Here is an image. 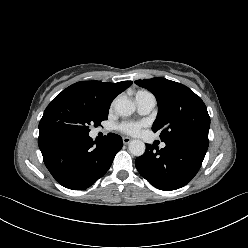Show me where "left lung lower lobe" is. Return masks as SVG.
<instances>
[{
    "label": "left lung lower lobe",
    "mask_w": 248,
    "mask_h": 248,
    "mask_svg": "<svg viewBox=\"0 0 248 248\" xmlns=\"http://www.w3.org/2000/svg\"><path fill=\"white\" fill-rule=\"evenodd\" d=\"M165 143V148L161 150L146 144L145 153L136 159L135 165L154 187L170 191L183 187L197 174L209 141L178 139Z\"/></svg>",
    "instance_id": "obj_1"
}]
</instances>
